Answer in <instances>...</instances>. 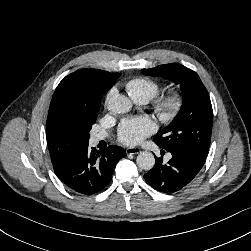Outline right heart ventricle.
Wrapping results in <instances>:
<instances>
[{"label":"right heart ventricle","instance_id":"1","mask_svg":"<svg viewBox=\"0 0 251 251\" xmlns=\"http://www.w3.org/2000/svg\"><path fill=\"white\" fill-rule=\"evenodd\" d=\"M126 90L133 100H145L148 102L159 94L161 85L153 79L138 77L126 84Z\"/></svg>","mask_w":251,"mask_h":251}]
</instances>
